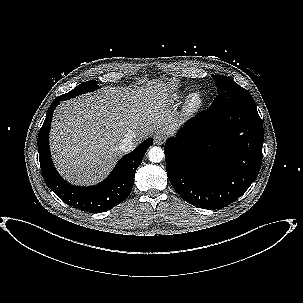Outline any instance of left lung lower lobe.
I'll list each match as a JSON object with an SVG mask.
<instances>
[{"label": "left lung lower lobe", "instance_id": "obj_1", "mask_svg": "<svg viewBox=\"0 0 303 303\" xmlns=\"http://www.w3.org/2000/svg\"><path fill=\"white\" fill-rule=\"evenodd\" d=\"M263 139L255 105L202 111L166 141L169 181L186 202L203 209L223 208L257 178Z\"/></svg>", "mask_w": 303, "mask_h": 303}]
</instances>
